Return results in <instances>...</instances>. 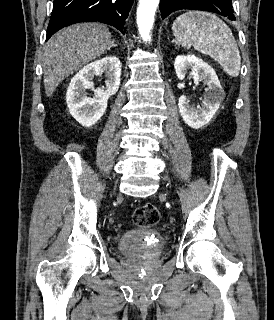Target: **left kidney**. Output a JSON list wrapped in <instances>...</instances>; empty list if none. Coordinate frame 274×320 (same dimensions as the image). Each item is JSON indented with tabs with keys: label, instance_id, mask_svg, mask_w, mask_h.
<instances>
[{
	"label": "left kidney",
	"instance_id": "5707ae66",
	"mask_svg": "<svg viewBox=\"0 0 274 320\" xmlns=\"http://www.w3.org/2000/svg\"><path fill=\"white\" fill-rule=\"evenodd\" d=\"M174 68L179 80H184L188 70H191L190 76H193L194 84L204 82L205 86H207L205 94H203L202 108L194 110L190 106L187 96H180L178 102L179 112L185 124H188L194 130H199L202 126L209 124L212 116L219 110V106L225 98V92L213 68L203 60H200V58L192 56V54H189V56H177Z\"/></svg>",
	"mask_w": 274,
	"mask_h": 320
}]
</instances>
